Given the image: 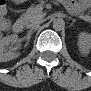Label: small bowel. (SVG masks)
<instances>
[{
    "mask_svg": "<svg viewBox=\"0 0 91 91\" xmlns=\"http://www.w3.org/2000/svg\"><path fill=\"white\" fill-rule=\"evenodd\" d=\"M5 9L3 10V14H5ZM3 23H4V18H3V16H1V28L4 30V28H3Z\"/></svg>",
    "mask_w": 91,
    "mask_h": 91,
    "instance_id": "small-bowel-1",
    "label": "small bowel"
}]
</instances>
